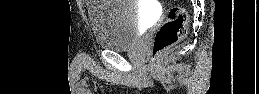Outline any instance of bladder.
Here are the masks:
<instances>
[{
	"label": "bladder",
	"instance_id": "1",
	"mask_svg": "<svg viewBox=\"0 0 259 94\" xmlns=\"http://www.w3.org/2000/svg\"><path fill=\"white\" fill-rule=\"evenodd\" d=\"M88 19L99 46L112 51L132 48L142 26L140 10L132 0L89 1Z\"/></svg>",
	"mask_w": 259,
	"mask_h": 94
}]
</instances>
